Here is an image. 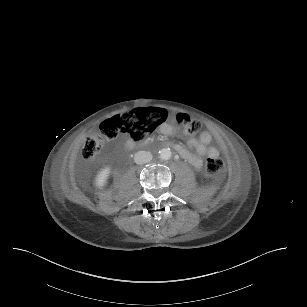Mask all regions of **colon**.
Segmentation results:
<instances>
[{
	"label": "colon",
	"instance_id": "5ec220e1",
	"mask_svg": "<svg viewBox=\"0 0 307 307\" xmlns=\"http://www.w3.org/2000/svg\"><path fill=\"white\" fill-rule=\"evenodd\" d=\"M167 115L164 109L139 108L103 122L97 134L85 139L81 150L83 159H93L105 140L118 135L136 141L145 138L162 124ZM175 119L189 135H194L200 130L199 121L186 113H177ZM223 168L224 162L220 157L211 156L206 162V172L211 176L220 174Z\"/></svg>",
	"mask_w": 307,
	"mask_h": 307
}]
</instances>
